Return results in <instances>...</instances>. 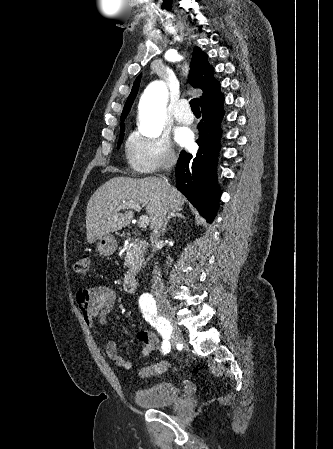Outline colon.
Masks as SVG:
<instances>
[{
    "instance_id": "obj_1",
    "label": "colon",
    "mask_w": 333,
    "mask_h": 449,
    "mask_svg": "<svg viewBox=\"0 0 333 449\" xmlns=\"http://www.w3.org/2000/svg\"><path fill=\"white\" fill-rule=\"evenodd\" d=\"M74 271L78 274L85 275L89 272L90 269V259L88 256L84 255L80 257L74 263ZM170 369V364L168 362H157L153 364H149L140 369L139 374L141 377H150L153 375H159L167 372Z\"/></svg>"
}]
</instances>
